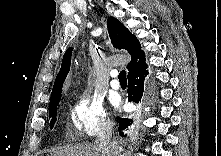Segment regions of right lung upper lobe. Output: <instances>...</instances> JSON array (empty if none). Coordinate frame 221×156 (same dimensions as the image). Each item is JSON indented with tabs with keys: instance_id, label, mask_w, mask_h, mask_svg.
Returning a JSON list of instances; mask_svg holds the SVG:
<instances>
[{
	"instance_id": "right-lung-upper-lobe-1",
	"label": "right lung upper lobe",
	"mask_w": 221,
	"mask_h": 156,
	"mask_svg": "<svg viewBox=\"0 0 221 156\" xmlns=\"http://www.w3.org/2000/svg\"><path fill=\"white\" fill-rule=\"evenodd\" d=\"M107 26L113 46L119 49H125L131 55V61L127 65L128 73L132 69L143 66L145 64V55L143 50L140 48L138 39L130 33V31L123 26L119 20L112 16L108 18ZM71 55L72 48H69L63 56L61 69L53 86L50 105L55 103L61 97L62 86L70 70Z\"/></svg>"
}]
</instances>
